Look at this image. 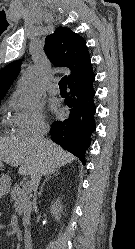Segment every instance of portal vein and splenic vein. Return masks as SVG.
Returning <instances> with one entry per match:
<instances>
[{"label":"portal vein and splenic vein","mask_w":135,"mask_h":249,"mask_svg":"<svg viewBox=\"0 0 135 249\" xmlns=\"http://www.w3.org/2000/svg\"><path fill=\"white\" fill-rule=\"evenodd\" d=\"M23 189L26 191V192H30L31 190V184L29 182H27L24 186H23Z\"/></svg>","instance_id":"portal-vein-and-splenic-vein-1"}]
</instances>
